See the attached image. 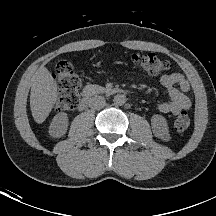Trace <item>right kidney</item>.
Returning a JSON list of instances; mask_svg holds the SVG:
<instances>
[{
  "label": "right kidney",
  "mask_w": 216,
  "mask_h": 216,
  "mask_svg": "<svg viewBox=\"0 0 216 216\" xmlns=\"http://www.w3.org/2000/svg\"><path fill=\"white\" fill-rule=\"evenodd\" d=\"M68 116L66 113L61 112L54 116L50 127H49V134L54 138L62 137L68 128Z\"/></svg>",
  "instance_id": "1"
}]
</instances>
